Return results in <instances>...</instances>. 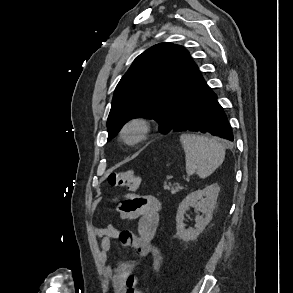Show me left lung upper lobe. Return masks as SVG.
I'll return each mask as SVG.
<instances>
[{
    "instance_id": "1",
    "label": "left lung upper lobe",
    "mask_w": 293,
    "mask_h": 293,
    "mask_svg": "<svg viewBox=\"0 0 293 293\" xmlns=\"http://www.w3.org/2000/svg\"><path fill=\"white\" fill-rule=\"evenodd\" d=\"M207 88L184 47L164 42L147 49L115 89L107 121L108 141L134 118L154 119L161 133L172 131L186 105Z\"/></svg>"
}]
</instances>
